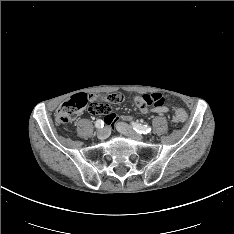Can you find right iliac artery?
I'll return each mask as SVG.
<instances>
[{"label": "right iliac artery", "instance_id": "1", "mask_svg": "<svg viewBox=\"0 0 234 234\" xmlns=\"http://www.w3.org/2000/svg\"><path fill=\"white\" fill-rule=\"evenodd\" d=\"M104 126V122L102 120H97L95 122V127L96 128H102Z\"/></svg>", "mask_w": 234, "mask_h": 234}]
</instances>
